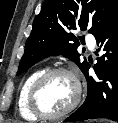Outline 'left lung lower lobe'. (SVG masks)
<instances>
[{
	"label": "left lung lower lobe",
	"instance_id": "left-lung-lower-lobe-1",
	"mask_svg": "<svg viewBox=\"0 0 118 123\" xmlns=\"http://www.w3.org/2000/svg\"><path fill=\"white\" fill-rule=\"evenodd\" d=\"M95 38L100 45L97 52L103 53L94 66L96 76H89L88 64L83 71L88 84L87 98L64 122L95 118L118 122V16Z\"/></svg>",
	"mask_w": 118,
	"mask_h": 123
}]
</instances>
